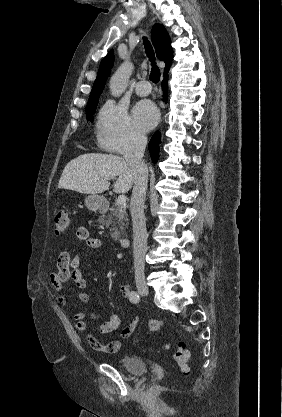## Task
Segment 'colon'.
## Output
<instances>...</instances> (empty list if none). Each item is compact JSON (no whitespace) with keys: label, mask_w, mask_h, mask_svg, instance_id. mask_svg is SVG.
I'll use <instances>...</instances> for the list:
<instances>
[{"label":"colon","mask_w":282,"mask_h":417,"mask_svg":"<svg viewBox=\"0 0 282 417\" xmlns=\"http://www.w3.org/2000/svg\"><path fill=\"white\" fill-rule=\"evenodd\" d=\"M71 224V219L68 211L59 210L56 212L53 219V227L57 234H62L65 232ZM163 321L159 319H151L148 322V330L150 333L154 334L163 327ZM189 358V351L186 349V346L183 342H179L175 345L174 349V362L177 364L181 371L186 373L189 371L187 365V360Z\"/></svg>","instance_id":"obj_1"}]
</instances>
